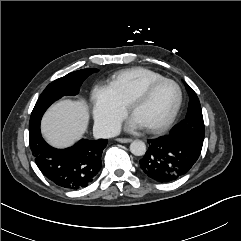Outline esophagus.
Wrapping results in <instances>:
<instances>
[{"label": "esophagus", "instance_id": "34e87169", "mask_svg": "<svg viewBox=\"0 0 241 241\" xmlns=\"http://www.w3.org/2000/svg\"><path fill=\"white\" fill-rule=\"evenodd\" d=\"M117 141L120 143H130L132 142V139L130 138H117Z\"/></svg>", "mask_w": 241, "mask_h": 241}]
</instances>
